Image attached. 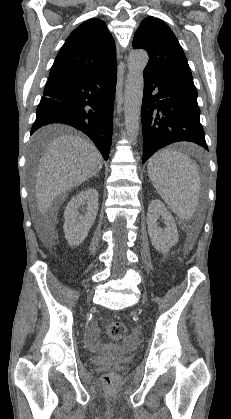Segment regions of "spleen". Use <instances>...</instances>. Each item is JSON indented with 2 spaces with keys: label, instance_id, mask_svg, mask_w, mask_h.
<instances>
[{
  "label": "spleen",
  "instance_id": "1",
  "mask_svg": "<svg viewBox=\"0 0 231 419\" xmlns=\"http://www.w3.org/2000/svg\"><path fill=\"white\" fill-rule=\"evenodd\" d=\"M148 176L168 207L181 219L194 215L200 196V174L185 154L172 149L155 153L148 163Z\"/></svg>",
  "mask_w": 231,
  "mask_h": 419
}]
</instances>
